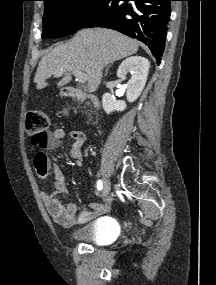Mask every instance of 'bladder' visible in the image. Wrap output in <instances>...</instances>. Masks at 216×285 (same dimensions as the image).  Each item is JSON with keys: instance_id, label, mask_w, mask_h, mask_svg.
Returning a JSON list of instances; mask_svg holds the SVG:
<instances>
[{"instance_id": "1", "label": "bladder", "mask_w": 216, "mask_h": 285, "mask_svg": "<svg viewBox=\"0 0 216 285\" xmlns=\"http://www.w3.org/2000/svg\"><path fill=\"white\" fill-rule=\"evenodd\" d=\"M117 233V225L112 219L100 218L72 230L70 239L76 242L102 246L112 242Z\"/></svg>"}]
</instances>
